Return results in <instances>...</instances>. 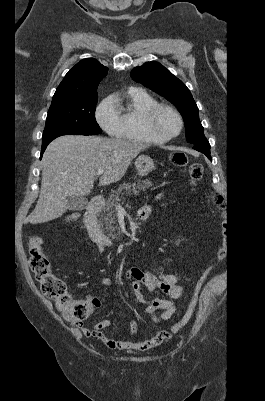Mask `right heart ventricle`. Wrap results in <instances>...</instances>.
Here are the masks:
<instances>
[{
  "instance_id": "right-heart-ventricle-1",
  "label": "right heart ventricle",
  "mask_w": 265,
  "mask_h": 401,
  "mask_svg": "<svg viewBox=\"0 0 265 401\" xmlns=\"http://www.w3.org/2000/svg\"><path fill=\"white\" fill-rule=\"evenodd\" d=\"M114 103L120 123L113 133L116 141L137 140L152 142L142 125V118L146 110L157 104V101L139 88H129L126 92L117 94Z\"/></svg>"
}]
</instances>
